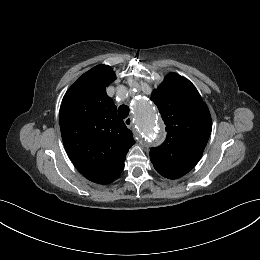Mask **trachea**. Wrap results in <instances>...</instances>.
Segmentation results:
<instances>
[{"label": "trachea", "mask_w": 260, "mask_h": 260, "mask_svg": "<svg viewBox=\"0 0 260 260\" xmlns=\"http://www.w3.org/2000/svg\"><path fill=\"white\" fill-rule=\"evenodd\" d=\"M119 116L123 119H125L129 115V107L126 105H121L119 107Z\"/></svg>", "instance_id": "trachea-1"}]
</instances>
